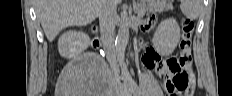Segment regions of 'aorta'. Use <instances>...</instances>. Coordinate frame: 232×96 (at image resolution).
I'll list each match as a JSON object with an SVG mask.
<instances>
[{"label":"aorta","instance_id":"aorta-1","mask_svg":"<svg viewBox=\"0 0 232 96\" xmlns=\"http://www.w3.org/2000/svg\"><path fill=\"white\" fill-rule=\"evenodd\" d=\"M129 41V28L127 24H123L117 33L116 41H115V52L117 60L119 61V64L122 67V72L124 74H127V67L124 63L125 58V50L126 46Z\"/></svg>","mask_w":232,"mask_h":96}]
</instances>
